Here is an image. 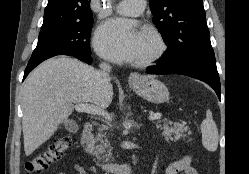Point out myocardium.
<instances>
[{"mask_svg":"<svg viewBox=\"0 0 249 174\" xmlns=\"http://www.w3.org/2000/svg\"><path fill=\"white\" fill-rule=\"evenodd\" d=\"M142 31L151 35L155 43V49L148 55L135 61L137 66H147L160 60L167 52L168 45L161 32L152 25H145Z\"/></svg>","mask_w":249,"mask_h":174,"instance_id":"myocardium-1","label":"myocardium"}]
</instances>
